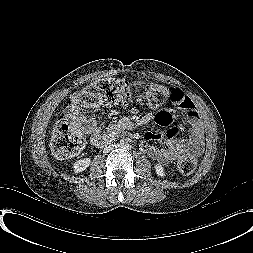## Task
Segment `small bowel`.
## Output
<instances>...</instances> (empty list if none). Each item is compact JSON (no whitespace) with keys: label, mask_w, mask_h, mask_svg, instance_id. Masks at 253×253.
I'll return each instance as SVG.
<instances>
[{"label":"small bowel","mask_w":253,"mask_h":253,"mask_svg":"<svg viewBox=\"0 0 253 253\" xmlns=\"http://www.w3.org/2000/svg\"><path fill=\"white\" fill-rule=\"evenodd\" d=\"M171 89L175 92L174 103L190 122V139L188 141L176 139L175 135L179 130L178 124L173 121L172 113L169 110L161 111L156 119L164 127V130L162 132H146L143 139L147 154L162 165H168L186 156L197 157L201 154L204 146V134L196 105L181 90ZM67 110H71L68 115L74 117L76 127L90 136L92 145L100 146L111 136V134L103 132L100 122L95 117L83 113L78 94H73L70 97V105ZM120 127L121 125L115 126L116 129ZM152 142H162L166 148L152 145Z\"/></svg>","instance_id":"c3829d8e"}]
</instances>
